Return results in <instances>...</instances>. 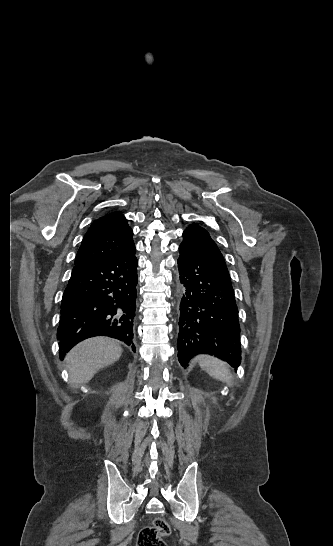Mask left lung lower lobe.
I'll list each match as a JSON object with an SVG mask.
<instances>
[{
	"label": "left lung lower lobe",
	"mask_w": 333,
	"mask_h": 546,
	"mask_svg": "<svg viewBox=\"0 0 333 546\" xmlns=\"http://www.w3.org/2000/svg\"><path fill=\"white\" fill-rule=\"evenodd\" d=\"M178 268L186 286L180 304L178 359L186 368L197 354H211L238 368L240 325L226 263L207 230L190 225L179 246Z\"/></svg>",
	"instance_id": "0a47b994"
}]
</instances>
